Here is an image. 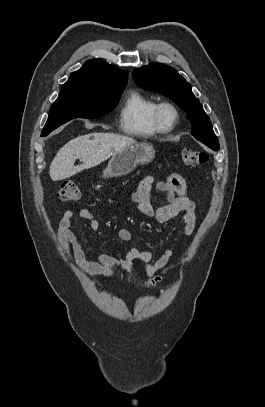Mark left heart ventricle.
Wrapping results in <instances>:
<instances>
[{
	"instance_id": "1",
	"label": "left heart ventricle",
	"mask_w": 265,
	"mask_h": 407,
	"mask_svg": "<svg viewBox=\"0 0 265 407\" xmlns=\"http://www.w3.org/2000/svg\"><path fill=\"white\" fill-rule=\"evenodd\" d=\"M171 117H172V115H171L170 112H167V113L165 114V119H166L167 121H169V120L171 119Z\"/></svg>"
}]
</instances>
